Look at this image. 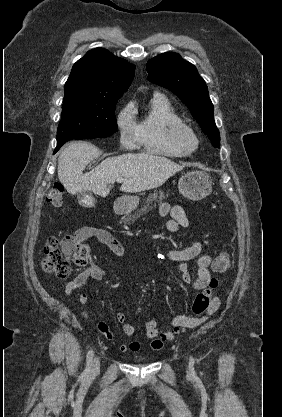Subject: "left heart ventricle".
I'll return each mask as SVG.
<instances>
[{"label": "left heart ventricle", "instance_id": "b2bd125f", "mask_svg": "<svg viewBox=\"0 0 282 417\" xmlns=\"http://www.w3.org/2000/svg\"><path fill=\"white\" fill-rule=\"evenodd\" d=\"M169 124H170V121H168V120L163 121L162 124H161L162 131L167 135L169 134V130H170ZM188 145L193 147L194 146V141L188 140Z\"/></svg>", "mask_w": 282, "mask_h": 417}]
</instances>
